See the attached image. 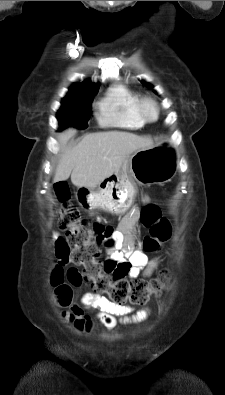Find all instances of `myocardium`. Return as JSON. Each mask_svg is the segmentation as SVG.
<instances>
[{
    "label": "myocardium",
    "instance_id": "obj_1",
    "mask_svg": "<svg viewBox=\"0 0 225 395\" xmlns=\"http://www.w3.org/2000/svg\"><path fill=\"white\" fill-rule=\"evenodd\" d=\"M136 108L138 116L144 123H154L159 119L160 107L158 102L152 97H140Z\"/></svg>",
    "mask_w": 225,
    "mask_h": 395
}]
</instances>
